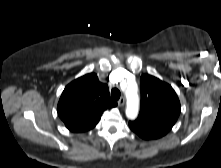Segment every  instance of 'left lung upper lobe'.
I'll use <instances>...</instances> for the list:
<instances>
[{"label": "left lung upper lobe", "instance_id": "obj_1", "mask_svg": "<svg viewBox=\"0 0 221 168\" xmlns=\"http://www.w3.org/2000/svg\"><path fill=\"white\" fill-rule=\"evenodd\" d=\"M141 83V108L130 129L143 139L166 135L180 114V102L173 88L160 79L144 74Z\"/></svg>", "mask_w": 221, "mask_h": 168}]
</instances>
